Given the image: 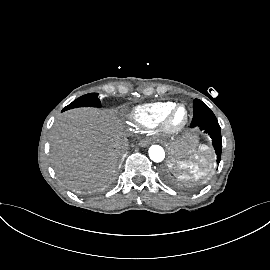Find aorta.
<instances>
[{"label":"aorta","instance_id":"762f6f07","mask_svg":"<svg viewBox=\"0 0 270 270\" xmlns=\"http://www.w3.org/2000/svg\"><path fill=\"white\" fill-rule=\"evenodd\" d=\"M148 153L150 159L156 163L162 162L165 158V151L159 145L150 146Z\"/></svg>","mask_w":270,"mask_h":270}]
</instances>
